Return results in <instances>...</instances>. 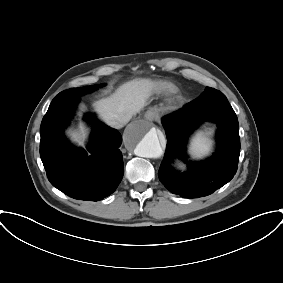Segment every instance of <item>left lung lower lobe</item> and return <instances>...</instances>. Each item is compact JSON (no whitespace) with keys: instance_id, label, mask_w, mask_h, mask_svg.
<instances>
[{"instance_id":"1","label":"left lung lower lobe","mask_w":283,"mask_h":283,"mask_svg":"<svg viewBox=\"0 0 283 283\" xmlns=\"http://www.w3.org/2000/svg\"><path fill=\"white\" fill-rule=\"evenodd\" d=\"M236 117L227 98H212L205 93L182 109L163 117L168 141L158 177L170 192L186 198L203 197L233 178L240 155L239 127L234 123ZM203 121L217 123L218 148L209 160L194 163L187 160L185 143L192 130ZM175 158L188 163L186 172L173 169Z\"/></svg>"}]
</instances>
